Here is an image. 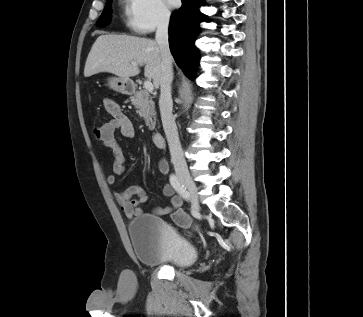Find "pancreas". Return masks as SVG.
<instances>
[{
  "label": "pancreas",
  "instance_id": "pancreas-1",
  "mask_svg": "<svg viewBox=\"0 0 363 317\" xmlns=\"http://www.w3.org/2000/svg\"><path fill=\"white\" fill-rule=\"evenodd\" d=\"M131 102L137 109L136 112L143 117L146 126L152 131L156 124L155 103L147 90H140L131 97Z\"/></svg>",
  "mask_w": 363,
  "mask_h": 317
}]
</instances>
